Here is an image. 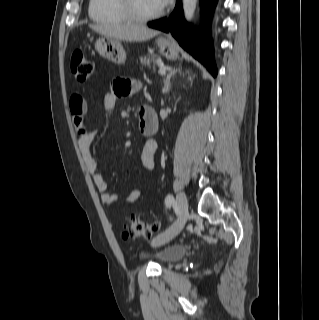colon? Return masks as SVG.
I'll use <instances>...</instances> for the list:
<instances>
[{
	"mask_svg": "<svg viewBox=\"0 0 319 320\" xmlns=\"http://www.w3.org/2000/svg\"><path fill=\"white\" fill-rule=\"evenodd\" d=\"M70 68L74 77L79 82H85L93 72L92 60L81 50H74L71 54ZM159 229L157 221L146 222L137 218H131L123 231L125 239L137 237L151 238Z\"/></svg>",
	"mask_w": 319,
	"mask_h": 320,
	"instance_id": "obj_1",
	"label": "colon"
}]
</instances>
